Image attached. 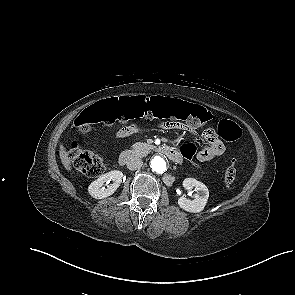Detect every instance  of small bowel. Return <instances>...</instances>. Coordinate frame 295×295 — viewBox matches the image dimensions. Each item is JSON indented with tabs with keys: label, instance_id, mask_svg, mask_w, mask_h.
<instances>
[{
	"label": "small bowel",
	"instance_id": "small-bowel-1",
	"mask_svg": "<svg viewBox=\"0 0 295 295\" xmlns=\"http://www.w3.org/2000/svg\"><path fill=\"white\" fill-rule=\"evenodd\" d=\"M159 127L161 129L168 130H179L185 136L190 138L199 139L201 137V132L197 129L190 128L183 121H171V120H161L159 122ZM138 126L126 125L120 128L116 132L118 138H126L138 131ZM203 138L207 145L197 151L196 159L200 162H208L216 157L221 156L225 151V146L220 139L216 136L213 130L209 129L203 133Z\"/></svg>",
	"mask_w": 295,
	"mask_h": 295
}]
</instances>
